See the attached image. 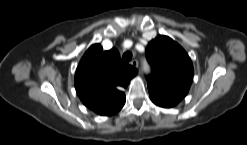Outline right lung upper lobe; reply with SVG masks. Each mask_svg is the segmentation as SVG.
<instances>
[{
  "instance_id": "obj_1",
  "label": "right lung upper lobe",
  "mask_w": 247,
  "mask_h": 145,
  "mask_svg": "<svg viewBox=\"0 0 247 145\" xmlns=\"http://www.w3.org/2000/svg\"><path fill=\"white\" fill-rule=\"evenodd\" d=\"M137 69L124 65L117 49L102 52L94 44L83 55L75 74V88L81 101L99 115L110 116L124 106L123 89L137 74Z\"/></svg>"
}]
</instances>
